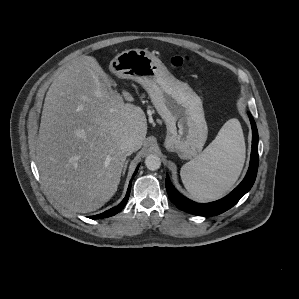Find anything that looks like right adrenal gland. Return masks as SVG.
I'll use <instances>...</instances> for the list:
<instances>
[{"label":"right adrenal gland","mask_w":299,"mask_h":299,"mask_svg":"<svg viewBox=\"0 0 299 299\" xmlns=\"http://www.w3.org/2000/svg\"><path fill=\"white\" fill-rule=\"evenodd\" d=\"M127 164H128V160L125 162L124 167H123V173H122L123 176L125 175Z\"/></svg>","instance_id":"obj_1"}]
</instances>
